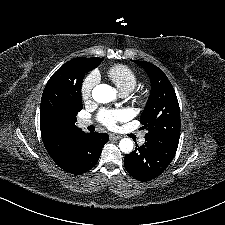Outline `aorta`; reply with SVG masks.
Returning a JSON list of instances; mask_svg holds the SVG:
<instances>
[{
  "label": "aorta",
  "mask_w": 225,
  "mask_h": 225,
  "mask_svg": "<svg viewBox=\"0 0 225 225\" xmlns=\"http://www.w3.org/2000/svg\"><path fill=\"white\" fill-rule=\"evenodd\" d=\"M92 97L98 103H108L116 98V90L107 84H99L92 90ZM133 147V141L129 138H124L119 142V148L123 153H131Z\"/></svg>",
  "instance_id": "obj_1"
}]
</instances>
